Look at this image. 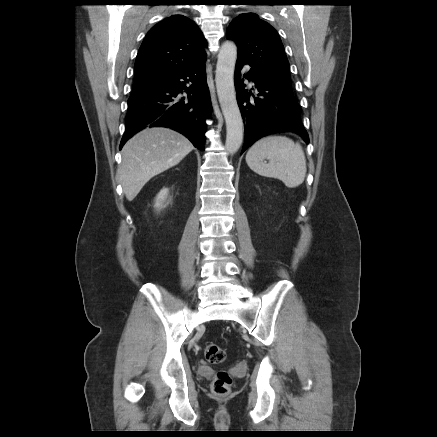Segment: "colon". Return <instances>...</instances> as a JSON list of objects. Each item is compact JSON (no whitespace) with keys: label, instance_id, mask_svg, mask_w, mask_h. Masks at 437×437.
<instances>
[{"label":"colon","instance_id":"obj_1","mask_svg":"<svg viewBox=\"0 0 437 437\" xmlns=\"http://www.w3.org/2000/svg\"><path fill=\"white\" fill-rule=\"evenodd\" d=\"M206 360L211 364H221L226 359L225 351L215 343H208L204 349ZM232 387V377L226 371H219L215 375L211 388L214 394L225 396L229 394Z\"/></svg>","mask_w":437,"mask_h":437}]
</instances>
